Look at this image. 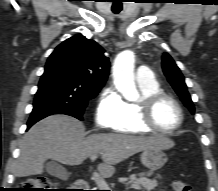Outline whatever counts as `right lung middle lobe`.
<instances>
[{
    "instance_id": "right-lung-middle-lobe-1",
    "label": "right lung middle lobe",
    "mask_w": 218,
    "mask_h": 191,
    "mask_svg": "<svg viewBox=\"0 0 218 191\" xmlns=\"http://www.w3.org/2000/svg\"><path fill=\"white\" fill-rule=\"evenodd\" d=\"M101 88L90 85L62 68L46 66L35 94L33 109L51 105L82 115L88 101L96 97Z\"/></svg>"
}]
</instances>
